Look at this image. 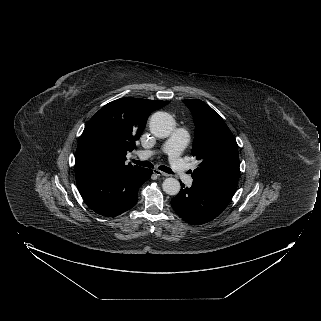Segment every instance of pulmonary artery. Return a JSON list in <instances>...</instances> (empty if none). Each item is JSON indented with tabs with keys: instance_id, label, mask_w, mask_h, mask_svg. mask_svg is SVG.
<instances>
[{
	"instance_id": "pulmonary-artery-1",
	"label": "pulmonary artery",
	"mask_w": 321,
	"mask_h": 321,
	"mask_svg": "<svg viewBox=\"0 0 321 321\" xmlns=\"http://www.w3.org/2000/svg\"><path fill=\"white\" fill-rule=\"evenodd\" d=\"M188 141V133L184 129H176L173 134L165 141L162 152L168 154L169 164L178 178L188 186L192 185L193 179L188 173L186 162L181 157L182 151ZM157 152L153 150H143L138 152L142 159L153 157Z\"/></svg>"
}]
</instances>
